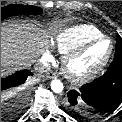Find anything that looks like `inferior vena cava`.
Returning <instances> with one entry per match:
<instances>
[{"label": "inferior vena cava", "mask_w": 122, "mask_h": 122, "mask_svg": "<svg viewBox=\"0 0 122 122\" xmlns=\"http://www.w3.org/2000/svg\"><path fill=\"white\" fill-rule=\"evenodd\" d=\"M50 68H51V66H50V64L47 63V62H44V63H43V62H37V63L35 64V67H34V69H35L36 71L40 72V73L47 72V71L50 70Z\"/></svg>", "instance_id": "obj_1"}]
</instances>
